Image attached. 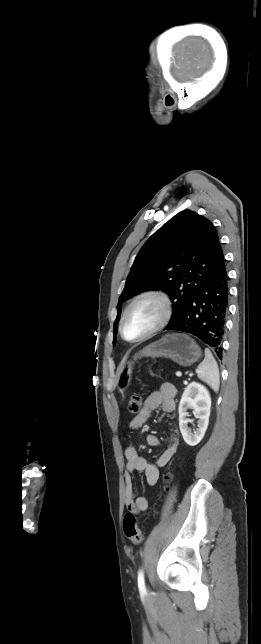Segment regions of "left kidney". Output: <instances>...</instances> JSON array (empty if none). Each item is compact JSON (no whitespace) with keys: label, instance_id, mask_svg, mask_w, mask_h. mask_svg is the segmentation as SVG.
<instances>
[{"label":"left kidney","instance_id":"1","mask_svg":"<svg viewBox=\"0 0 261 644\" xmlns=\"http://www.w3.org/2000/svg\"><path fill=\"white\" fill-rule=\"evenodd\" d=\"M189 408L195 410V417L198 418V428L193 433L187 425L190 422L187 412ZM210 408L211 397L208 390L197 382L190 383L183 392L178 408L179 428L189 446H195L203 439L209 423Z\"/></svg>","mask_w":261,"mask_h":644}]
</instances>
